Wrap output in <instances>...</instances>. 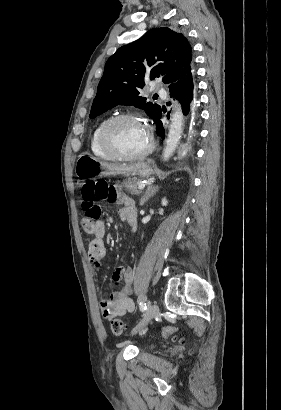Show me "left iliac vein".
Returning <instances> with one entry per match:
<instances>
[{"mask_svg":"<svg viewBox=\"0 0 281 410\" xmlns=\"http://www.w3.org/2000/svg\"><path fill=\"white\" fill-rule=\"evenodd\" d=\"M159 307L156 304L148 303L147 311L145 313L144 318L140 321V323L132 330L131 334L134 335L140 330H142L152 319L154 316L158 314Z\"/></svg>","mask_w":281,"mask_h":410,"instance_id":"1","label":"left iliac vein"}]
</instances>
